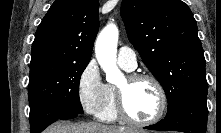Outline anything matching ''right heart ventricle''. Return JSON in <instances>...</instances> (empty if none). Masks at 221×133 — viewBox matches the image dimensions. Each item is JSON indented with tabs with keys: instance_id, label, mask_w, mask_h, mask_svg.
I'll use <instances>...</instances> for the list:
<instances>
[{
	"instance_id": "obj_1",
	"label": "right heart ventricle",
	"mask_w": 221,
	"mask_h": 133,
	"mask_svg": "<svg viewBox=\"0 0 221 133\" xmlns=\"http://www.w3.org/2000/svg\"><path fill=\"white\" fill-rule=\"evenodd\" d=\"M124 69L127 70L126 68ZM96 115L98 119L104 122H108V123L115 122L119 119L117 108H116V86L115 85L106 84L105 100L101 109Z\"/></svg>"
}]
</instances>
